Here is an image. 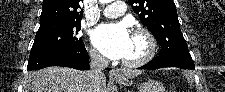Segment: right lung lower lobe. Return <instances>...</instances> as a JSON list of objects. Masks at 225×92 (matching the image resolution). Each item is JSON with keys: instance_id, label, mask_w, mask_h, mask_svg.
Wrapping results in <instances>:
<instances>
[{"instance_id": "obj_1", "label": "right lung lower lobe", "mask_w": 225, "mask_h": 92, "mask_svg": "<svg viewBox=\"0 0 225 92\" xmlns=\"http://www.w3.org/2000/svg\"><path fill=\"white\" fill-rule=\"evenodd\" d=\"M50 66L70 67L78 70L89 69V55L84 43L76 47L54 48L30 53L28 70H37Z\"/></svg>"}]
</instances>
